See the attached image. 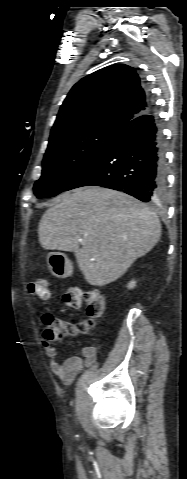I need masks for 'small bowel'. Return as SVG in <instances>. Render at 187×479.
<instances>
[{
	"instance_id": "1",
	"label": "small bowel",
	"mask_w": 187,
	"mask_h": 479,
	"mask_svg": "<svg viewBox=\"0 0 187 479\" xmlns=\"http://www.w3.org/2000/svg\"><path fill=\"white\" fill-rule=\"evenodd\" d=\"M53 341L55 340L44 337L41 345L50 358V370L65 385L71 384L75 377L81 373L84 366L89 367L96 361V349L93 346H84L78 349L74 355L60 362L57 360V350L52 344Z\"/></svg>"
}]
</instances>
